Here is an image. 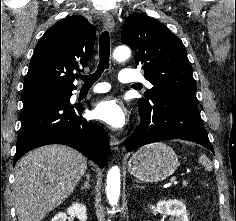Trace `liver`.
I'll return each instance as SVG.
<instances>
[{
  "instance_id": "6515ba94",
  "label": "liver",
  "mask_w": 236,
  "mask_h": 221,
  "mask_svg": "<svg viewBox=\"0 0 236 221\" xmlns=\"http://www.w3.org/2000/svg\"><path fill=\"white\" fill-rule=\"evenodd\" d=\"M86 169L85 156L56 144L37 148L22 157L15 169L18 221H41L70 196Z\"/></svg>"
}]
</instances>
